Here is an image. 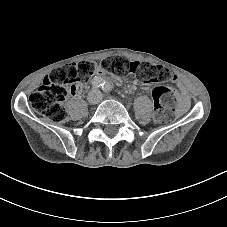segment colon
I'll use <instances>...</instances> for the list:
<instances>
[{"mask_svg":"<svg viewBox=\"0 0 227 227\" xmlns=\"http://www.w3.org/2000/svg\"><path fill=\"white\" fill-rule=\"evenodd\" d=\"M105 72L120 77L136 74L143 82H165L173 79V74L164 66L146 62H130L123 57H107L98 65ZM97 66L88 61L64 65L51 72L42 85L30 95L33 110L56 123L67 119L64 100L74 93L80 84L87 81ZM154 99V120L156 123H169L173 119L176 104V91L168 86H157L152 91Z\"/></svg>","mask_w":227,"mask_h":227,"instance_id":"obj_1","label":"colon"}]
</instances>
